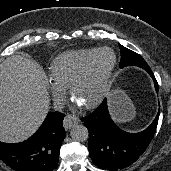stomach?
<instances>
[{"label":"stomach","instance_id":"obj_1","mask_svg":"<svg viewBox=\"0 0 171 171\" xmlns=\"http://www.w3.org/2000/svg\"><path fill=\"white\" fill-rule=\"evenodd\" d=\"M110 109L114 120L127 122L135 116V107L124 91L113 89L108 93Z\"/></svg>","mask_w":171,"mask_h":171}]
</instances>
